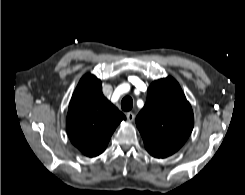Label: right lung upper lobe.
<instances>
[{"label":"right lung upper lobe","mask_w":245,"mask_h":195,"mask_svg":"<svg viewBox=\"0 0 245 195\" xmlns=\"http://www.w3.org/2000/svg\"><path fill=\"white\" fill-rule=\"evenodd\" d=\"M125 119L103 96L101 81L92 74L84 75L73 93L66 119L72 144L88 157L98 156Z\"/></svg>","instance_id":"obj_1"}]
</instances>
